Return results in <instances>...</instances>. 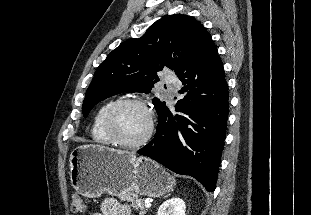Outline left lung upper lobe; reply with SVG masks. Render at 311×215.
I'll list each match as a JSON object with an SVG mask.
<instances>
[{"label":"left lung upper lobe","mask_w":311,"mask_h":215,"mask_svg":"<svg viewBox=\"0 0 311 215\" xmlns=\"http://www.w3.org/2000/svg\"><path fill=\"white\" fill-rule=\"evenodd\" d=\"M209 35L195 18L173 14L156 21L140 38L114 49L97 68L83 102V115L100 101L121 92L150 93L164 67L176 70ZM156 111L165 102L153 99Z\"/></svg>","instance_id":"5c2ea615"}]
</instances>
